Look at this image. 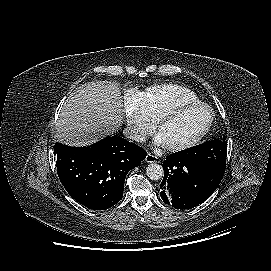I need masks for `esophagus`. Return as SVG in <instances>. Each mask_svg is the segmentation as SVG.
I'll list each match as a JSON object with an SVG mask.
<instances>
[{
	"mask_svg": "<svg viewBox=\"0 0 271 271\" xmlns=\"http://www.w3.org/2000/svg\"><path fill=\"white\" fill-rule=\"evenodd\" d=\"M146 162L148 163H159L160 162V158L152 155L150 153L147 154L146 158H145Z\"/></svg>",
	"mask_w": 271,
	"mask_h": 271,
	"instance_id": "1",
	"label": "esophagus"
}]
</instances>
